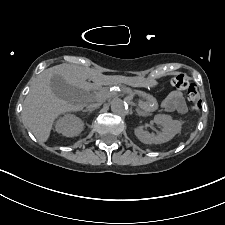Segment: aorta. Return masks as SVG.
<instances>
[{
  "label": "aorta",
  "mask_w": 225,
  "mask_h": 225,
  "mask_svg": "<svg viewBox=\"0 0 225 225\" xmlns=\"http://www.w3.org/2000/svg\"><path fill=\"white\" fill-rule=\"evenodd\" d=\"M111 111L119 116H125L128 113L127 104L120 98H114L111 101Z\"/></svg>",
  "instance_id": "obj_1"
}]
</instances>
